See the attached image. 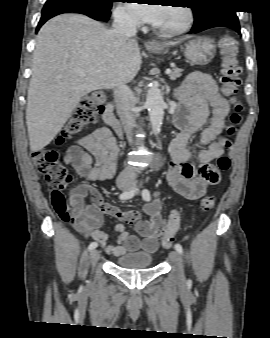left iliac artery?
Wrapping results in <instances>:
<instances>
[{"instance_id": "1", "label": "left iliac artery", "mask_w": 270, "mask_h": 338, "mask_svg": "<svg viewBox=\"0 0 270 338\" xmlns=\"http://www.w3.org/2000/svg\"><path fill=\"white\" fill-rule=\"evenodd\" d=\"M142 197L145 201H150L151 200L150 191L148 189H144L142 191ZM174 248L178 253H180V254L183 253V248H182L181 244H179V243L175 244Z\"/></svg>"}]
</instances>
